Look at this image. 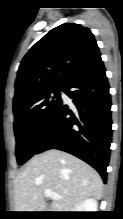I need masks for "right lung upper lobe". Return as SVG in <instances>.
I'll return each mask as SVG.
<instances>
[{
  "label": "right lung upper lobe",
  "mask_w": 123,
  "mask_h": 219,
  "mask_svg": "<svg viewBox=\"0 0 123 219\" xmlns=\"http://www.w3.org/2000/svg\"><path fill=\"white\" fill-rule=\"evenodd\" d=\"M100 56L89 28L75 23L55 27L21 61L13 103L44 89L65 86L72 76Z\"/></svg>",
  "instance_id": "cb5924a9"
}]
</instances>
